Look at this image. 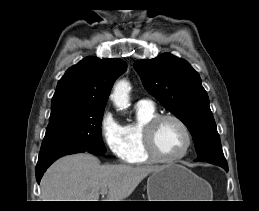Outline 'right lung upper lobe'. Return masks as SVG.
<instances>
[{"label":"right lung upper lobe","mask_w":259,"mask_h":211,"mask_svg":"<svg viewBox=\"0 0 259 211\" xmlns=\"http://www.w3.org/2000/svg\"><path fill=\"white\" fill-rule=\"evenodd\" d=\"M126 67L120 59L84 58L58 82L50 117L77 108L104 109L114 81Z\"/></svg>","instance_id":"cb5924a9"}]
</instances>
